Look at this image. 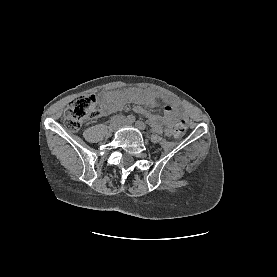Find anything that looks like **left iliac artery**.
Here are the masks:
<instances>
[{
  "label": "left iliac artery",
  "instance_id": "44dca946",
  "mask_svg": "<svg viewBox=\"0 0 277 277\" xmlns=\"http://www.w3.org/2000/svg\"><path fill=\"white\" fill-rule=\"evenodd\" d=\"M136 126L141 129V130H145L146 129V125L142 122V121H137L136 122Z\"/></svg>",
  "mask_w": 277,
  "mask_h": 277
}]
</instances>
